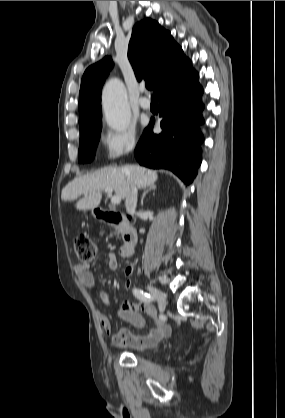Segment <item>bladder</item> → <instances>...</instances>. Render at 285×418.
Here are the masks:
<instances>
[{
    "label": "bladder",
    "instance_id": "31cf9c89",
    "mask_svg": "<svg viewBox=\"0 0 285 418\" xmlns=\"http://www.w3.org/2000/svg\"><path fill=\"white\" fill-rule=\"evenodd\" d=\"M145 352H146V351H145L144 349H136V350H134V351L132 352V354H133L134 356H140V355H143Z\"/></svg>",
    "mask_w": 285,
    "mask_h": 418
}]
</instances>
